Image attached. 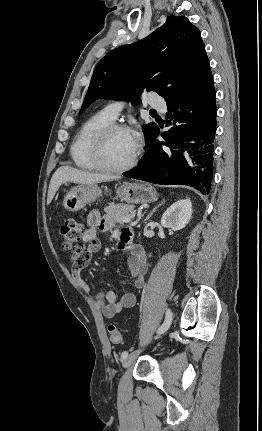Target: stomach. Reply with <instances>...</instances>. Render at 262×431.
I'll return each mask as SVG.
<instances>
[{"instance_id":"stomach-1","label":"stomach","mask_w":262,"mask_h":431,"mask_svg":"<svg viewBox=\"0 0 262 431\" xmlns=\"http://www.w3.org/2000/svg\"><path fill=\"white\" fill-rule=\"evenodd\" d=\"M106 192L109 190L106 188ZM117 197L129 204H141L155 201V190L145 183H124L116 188ZM102 196V187L98 184H80L69 190L64 196L63 206L66 210L75 212Z\"/></svg>"}]
</instances>
